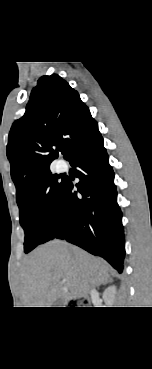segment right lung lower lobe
<instances>
[{"instance_id": "right-lung-lower-lobe-1", "label": "right lung lower lobe", "mask_w": 152, "mask_h": 369, "mask_svg": "<svg viewBox=\"0 0 152 369\" xmlns=\"http://www.w3.org/2000/svg\"><path fill=\"white\" fill-rule=\"evenodd\" d=\"M78 167L75 186L66 180L58 207V222L49 240L65 239L106 259L120 273L125 256L122 213L117 204L114 172L97 129L71 152ZM48 240V241H49Z\"/></svg>"}]
</instances>
